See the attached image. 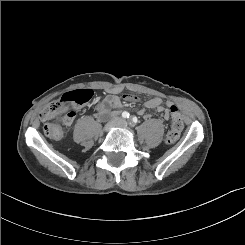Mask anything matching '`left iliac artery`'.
Masks as SVG:
<instances>
[{
	"label": "left iliac artery",
	"instance_id": "1",
	"mask_svg": "<svg viewBox=\"0 0 245 245\" xmlns=\"http://www.w3.org/2000/svg\"><path fill=\"white\" fill-rule=\"evenodd\" d=\"M138 122V119L136 116H133L131 119H130V125L131 126H135V124Z\"/></svg>",
	"mask_w": 245,
	"mask_h": 245
}]
</instances>
